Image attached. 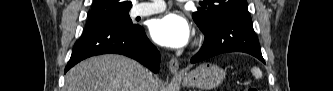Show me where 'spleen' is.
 I'll use <instances>...</instances> for the list:
<instances>
[{
	"mask_svg": "<svg viewBox=\"0 0 333 91\" xmlns=\"http://www.w3.org/2000/svg\"><path fill=\"white\" fill-rule=\"evenodd\" d=\"M253 76L257 79L261 78L262 77V72L259 68L257 67H253L252 70H251Z\"/></svg>",
	"mask_w": 333,
	"mask_h": 91,
	"instance_id": "3e777b00",
	"label": "spleen"
}]
</instances>
